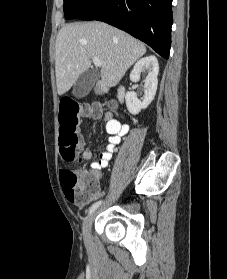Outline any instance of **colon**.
<instances>
[{"mask_svg":"<svg viewBox=\"0 0 227 279\" xmlns=\"http://www.w3.org/2000/svg\"><path fill=\"white\" fill-rule=\"evenodd\" d=\"M115 110V104H111ZM100 114V108L94 105H80L75 101L61 102L59 111V152L65 162H72L78 154L80 137L77 124L81 116ZM61 183L65 193L79 204H85L97 191L95 179H86L78 170H65L61 173Z\"/></svg>","mask_w":227,"mask_h":279,"instance_id":"1","label":"colon"}]
</instances>
